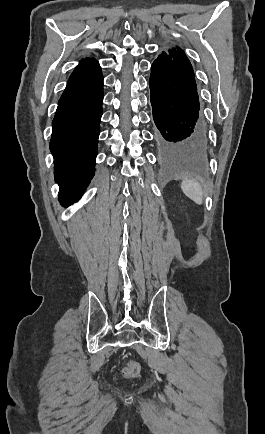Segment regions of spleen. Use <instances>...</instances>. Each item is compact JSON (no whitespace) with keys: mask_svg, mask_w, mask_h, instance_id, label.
I'll return each instance as SVG.
<instances>
[{"mask_svg":"<svg viewBox=\"0 0 265 434\" xmlns=\"http://www.w3.org/2000/svg\"><path fill=\"white\" fill-rule=\"evenodd\" d=\"M182 192L196 204H203V192L200 184L195 180H184L181 184Z\"/></svg>","mask_w":265,"mask_h":434,"instance_id":"1","label":"spleen"}]
</instances>
